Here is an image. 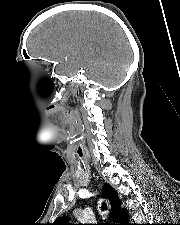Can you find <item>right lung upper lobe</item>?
Returning a JSON list of instances; mask_svg holds the SVG:
<instances>
[{
	"label": "right lung upper lobe",
	"instance_id": "1",
	"mask_svg": "<svg viewBox=\"0 0 180 225\" xmlns=\"http://www.w3.org/2000/svg\"><path fill=\"white\" fill-rule=\"evenodd\" d=\"M103 196L109 200L110 215L112 218V222L114 223L111 225H130L126 223L127 218L125 215V211L120 209L121 202L119 200L118 194L114 191V189L109 185H105L103 189ZM66 221L67 218L62 217L58 219L53 225H70L67 224Z\"/></svg>",
	"mask_w": 180,
	"mask_h": 225
}]
</instances>
